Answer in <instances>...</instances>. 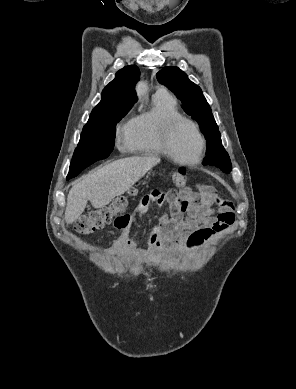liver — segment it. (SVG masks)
<instances>
[{
    "label": "liver",
    "instance_id": "6515ba94",
    "mask_svg": "<svg viewBox=\"0 0 296 389\" xmlns=\"http://www.w3.org/2000/svg\"><path fill=\"white\" fill-rule=\"evenodd\" d=\"M160 161L159 157L152 155L124 158L100 167L79 180L67 196L66 223L75 222L84 212L88 201L94 208L105 207Z\"/></svg>",
    "mask_w": 296,
    "mask_h": 389
}]
</instances>
